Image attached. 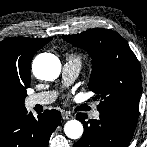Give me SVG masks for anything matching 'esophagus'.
Segmentation results:
<instances>
[{"instance_id": "34e87169", "label": "esophagus", "mask_w": 147, "mask_h": 147, "mask_svg": "<svg viewBox=\"0 0 147 147\" xmlns=\"http://www.w3.org/2000/svg\"><path fill=\"white\" fill-rule=\"evenodd\" d=\"M72 118H73V115L69 112H64L62 114V119H64V120H69V119H72Z\"/></svg>"}]
</instances>
